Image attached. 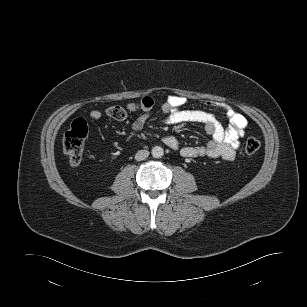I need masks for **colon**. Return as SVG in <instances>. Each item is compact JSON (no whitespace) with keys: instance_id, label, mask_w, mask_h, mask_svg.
<instances>
[{"instance_id":"obj_1","label":"colon","mask_w":307,"mask_h":307,"mask_svg":"<svg viewBox=\"0 0 307 307\" xmlns=\"http://www.w3.org/2000/svg\"><path fill=\"white\" fill-rule=\"evenodd\" d=\"M88 127L84 119H76L72 122L70 129L63 137V150L73 165H78L83 157L85 140ZM260 148V142L256 138H248L245 142L244 150L247 154H254Z\"/></svg>"}]
</instances>
